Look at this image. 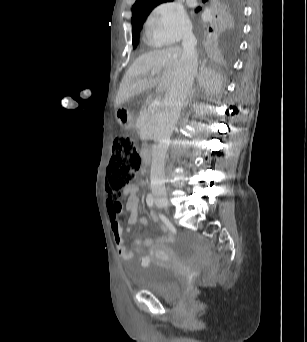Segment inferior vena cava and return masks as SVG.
Masks as SVG:
<instances>
[{
	"mask_svg": "<svg viewBox=\"0 0 307 342\" xmlns=\"http://www.w3.org/2000/svg\"><path fill=\"white\" fill-rule=\"evenodd\" d=\"M197 40L193 34H185L182 42V56L175 80L168 88L162 104V110L156 124L155 140L152 148L151 190L165 194V156L169 148L171 134L176 128L182 106H184L189 90L197 72Z\"/></svg>",
	"mask_w": 307,
	"mask_h": 342,
	"instance_id": "inferior-vena-cava-1",
	"label": "inferior vena cava"
}]
</instances>
